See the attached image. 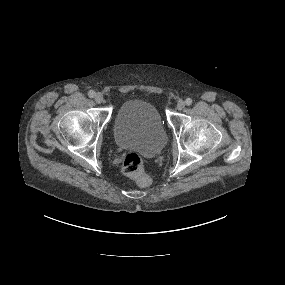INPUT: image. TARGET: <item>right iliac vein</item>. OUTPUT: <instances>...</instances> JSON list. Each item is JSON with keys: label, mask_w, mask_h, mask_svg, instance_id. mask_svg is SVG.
Masks as SVG:
<instances>
[{"label": "right iliac vein", "mask_w": 285, "mask_h": 285, "mask_svg": "<svg viewBox=\"0 0 285 285\" xmlns=\"http://www.w3.org/2000/svg\"><path fill=\"white\" fill-rule=\"evenodd\" d=\"M94 99H95V102H96V103L100 104V103L103 102V95H102L101 93H97V94L95 95Z\"/></svg>", "instance_id": "right-iliac-vein-1"}]
</instances>
